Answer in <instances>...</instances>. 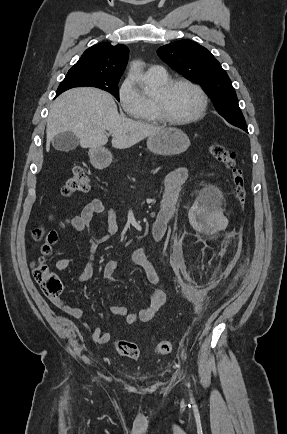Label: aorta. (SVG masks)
<instances>
[{
    "mask_svg": "<svg viewBox=\"0 0 287 434\" xmlns=\"http://www.w3.org/2000/svg\"><path fill=\"white\" fill-rule=\"evenodd\" d=\"M141 66H142V63L140 61H134L131 64L130 70L133 73L136 82L144 84L145 78L142 75Z\"/></svg>",
    "mask_w": 287,
    "mask_h": 434,
    "instance_id": "762f6f07",
    "label": "aorta"
}]
</instances>
